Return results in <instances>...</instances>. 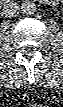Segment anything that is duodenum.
<instances>
[{
  "mask_svg": "<svg viewBox=\"0 0 63 107\" xmlns=\"http://www.w3.org/2000/svg\"><path fill=\"white\" fill-rule=\"evenodd\" d=\"M4 3L8 2V0H3Z\"/></svg>",
  "mask_w": 63,
  "mask_h": 107,
  "instance_id": "obj_1",
  "label": "duodenum"
}]
</instances>
